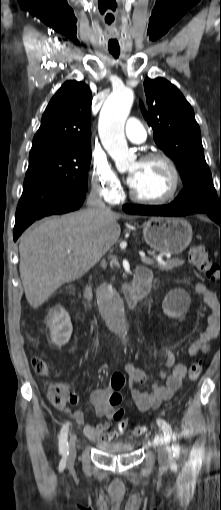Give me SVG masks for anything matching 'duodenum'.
<instances>
[{
	"label": "duodenum",
	"mask_w": 221,
	"mask_h": 510,
	"mask_svg": "<svg viewBox=\"0 0 221 510\" xmlns=\"http://www.w3.org/2000/svg\"><path fill=\"white\" fill-rule=\"evenodd\" d=\"M151 282L152 276L147 269L140 267L136 270L132 281L126 286L124 292L125 303L128 308L137 306L139 301L149 292ZM84 297L87 307L90 308L93 302V282L85 290Z\"/></svg>",
	"instance_id": "410a0bca"
}]
</instances>
